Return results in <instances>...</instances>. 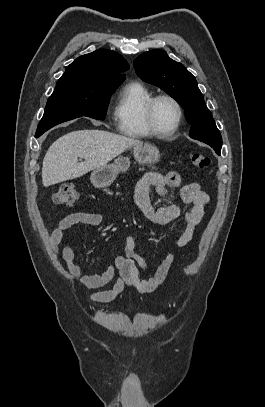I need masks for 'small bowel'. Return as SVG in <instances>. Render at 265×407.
<instances>
[{
  "instance_id": "1",
  "label": "small bowel",
  "mask_w": 265,
  "mask_h": 407,
  "mask_svg": "<svg viewBox=\"0 0 265 407\" xmlns=\"http://www.w3.org/2000/svg\"><path fill=\"white\" fill-rule=\"evenodd\" d=\"M155 188L160 195H166L169 188L180 190L182 204L188 206L185 212L186 226L176 246L185 247L193 239L194 232L200 224L209 196L196 182L183 184L178 172L172 171L166 175L158 172L146 173L135 188V203L142 214L156 224H167L181 214V205L170 204L154 207L150 198V190ZM102 216L91 212H75L61 220L52 232L50 243L53 251L60 255L67 266L70 276L81 286L93 290L90 295L92 301L109 303L114 301L126 287H132L140 293H152L159 288L167 278L168 272L175 261L173 253H168L155 268L151 269L143 257L138 253L134 237L125 239L124 254L115 258L114 262L101 273L84 274L80 265L75 263V253L70 245L64 243L67 232L76 224L92 227L100 226ZM63 244V245H62ZM62 245V246H61ZM140 270L151 271L149 278L142 279ZM117 275V276H116ZM115 280L113 286L105 289Z\"/></svg>"
}]
</instances>
